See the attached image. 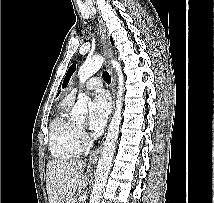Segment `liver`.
<instances>
[{"label":"liver","mask_w":214,"mask_h":203,"mask_svg":"<svg viewBox=\"0 0 214 203\" xmlns=\"http://www.w3.org/2000/svg\"><path fill=\"white\" fill-rule=\"evenodd\" d=\"M86 164L81 160L50 161L46 170V189L49 203H66L75 192H81L89 182L83 175Z\"/></svg>","instance_id":"obj_1"}]
</instances>
